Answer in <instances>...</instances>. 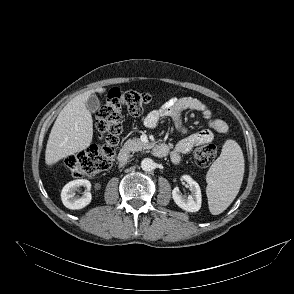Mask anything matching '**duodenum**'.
<instances>
[{
	"label": "duodenum",
	"mask_w": 294,
	"mask_h": 294,
	"mask_svg": "<svg viewBox=\"0 0 294 294\" xmlns=\"http://www.w3.org/2000/svg\"><path fill=\"white\" fill-rule=\"evenodd\" d=\"M152 152L156 157H165L169 152V146L165 143L156 144L152 148ZM129 160V152L126 149H123L118 154V161L122 165L127 164Z\"/></svg>",
	"instance_id": "obj_1"
}]
</instances>
